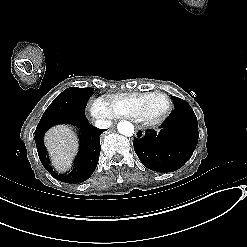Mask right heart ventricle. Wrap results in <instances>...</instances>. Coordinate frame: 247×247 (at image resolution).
Here are the masks:
<instances>
[{
	"mask_svg": "<svg viewBox=\"0 0 247 247\" xmlns=\"http://www.w3.org/2000/svg\"><path fill=\"white\" fill-rule=\"evenodd\" d=\"M149 94L150 92L104 95L100 100L105 105L109 118H127L138 112Z\"/></svg>",
	"mask_w": 247,
	"mask_h": 247,
	"instance_id": "1",
	"label": "right heart ventricle"
}]
</instances>
